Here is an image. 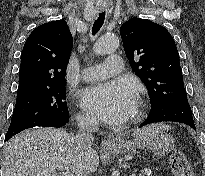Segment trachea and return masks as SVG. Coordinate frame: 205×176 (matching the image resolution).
<instances>
[{
  "mask_svg": "<svg viewBox=\"0 0 205 176\" xmlns=\"http://www.w3.org/2000/svg\"><path fill=\"white\" fill-rule=\"evenodd\" d=\"M105 20V12L99 13L98 18L95 20L92 28V35H95L98 33V31L101 29L103 23Z\"/></svg>",
  "mask_w": 205,
  "mask_h": 176,
  "instance_id": "1",
  "label": "trachea"
}]
</instances>
